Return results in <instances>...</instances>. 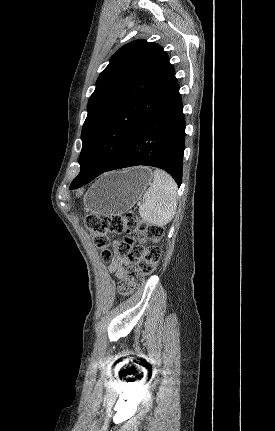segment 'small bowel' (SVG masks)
Returning <instances> with one entry per match:
<instances>
[{
  "instance_id": "1",
  "label": "small bowel",
  "mask_w": 275,
  "mask_h": 431,
  "mask_svg": "<svg viewBox=\"0 0 275 431\" xmlns=\"http://www.w3.org/2000/svg\"><path fill=\"white\" fill-rule=\"evenodd\" d=\"M117 244L118 243L115 242V245ZM125 264H126V260L120 254H115L109 262V266H108L109 272L114 274L118 278H120L124 274Z\"/></svg>"
}]
</instances>
